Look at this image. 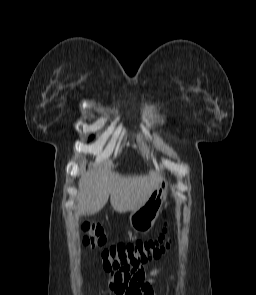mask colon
<instances>
[{"label":"colon","mask_w":256,"mask_h":295,"mask_svg":"<svg viewBox=\"0 0 256 295\" xmlns=\"http://www.w3.org/2000/svg\"><path fill=\"white\" fill-rule=\"evenodd\" d=\"M83 243L91 248H102L106 236L101 225L85 223ZM168 225L164 224L161 234L154 239L120 243L104 248L101 253L102 267L105 271L138 269L147 263L159 259L169 248Z\"/></svg>","instance_id":"5ec220e1"}]
</instances>
